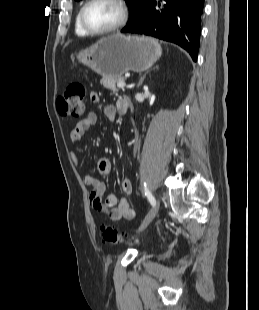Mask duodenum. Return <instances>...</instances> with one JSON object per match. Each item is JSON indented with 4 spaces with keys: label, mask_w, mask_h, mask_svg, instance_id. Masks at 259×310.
Instances as JSON below:
<instances>
[{
    "label": "duodenum",
    "mask_w": 259,
    "mask_h": 310,
    "mask_svg": "<svg viewBox=\"0 0 259 310\" xmlns=\"http://www.w3.org/2000/svg\"><path fill=\"white\" fill-rule=\"evenodd\" d=\"M128 105H129L128 99H127V98H123V99L119 102V105H118V112H119L120 114L126 113L127 110H128Z\"/></svg>",
    "instance_id": "obj_1"
}]
</instances>
